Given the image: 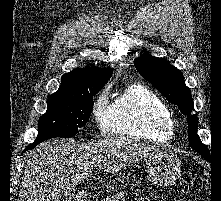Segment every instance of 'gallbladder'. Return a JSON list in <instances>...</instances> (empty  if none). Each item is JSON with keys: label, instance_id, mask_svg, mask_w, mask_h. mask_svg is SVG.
I'll list each match as a JSON object with an SVG mask.
<instances>
[{"label": "gallbladder", "instance_id": "obj_1", "mask_svg": "<svg viewBox=\"0 0 221 201\" xmlns=\"http://www.w3.org/2000/svg\"><path fill=\"white\" fill-rule=\"evenodd\" d=\"M74 195H75V190L71 186L65 187L63 192H62V198L64 200L70 201L71 198L74 197Z\"/></svg>", "mask_w": 221, "mask_h": 201}]
</instances>
